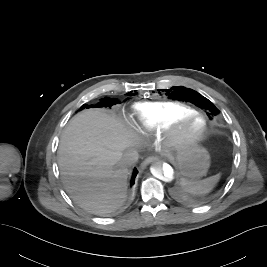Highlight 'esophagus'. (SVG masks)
I'll return each mask as SVG.
<instances>
[{
  "instance_id": "obj_1",
  "label": "esophagus",
  "mask_w": 267,
  "mask_h": 267,
  "mask_svg": "<svg viewBox=\"0 0 267 267\" xmlns=\"http://www.w3.org/2000/svg\"><path fill=\"white\" fill-rule=\"evenodd\" d=\"M155 160H156L155 157H149V158L145 159L140 165L141 169H145L146 166H148L151 162H153Z\"/></svg>"
}]
</instances>
